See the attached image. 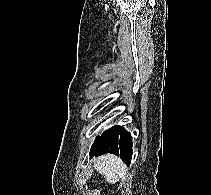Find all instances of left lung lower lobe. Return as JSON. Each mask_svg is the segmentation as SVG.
I'll use <instances>...</instances> for the list:
<instances>
[{
  "label": "left lung lower lobe",
  "instance_id": "1",
  "mask_svg": "<svg viewBox=\"0 0 211 195\" xmlns=\"http://www.w3.org/2000/svg\"><path fill=\"white\" fill-rule=\"evenodd\" d=\"M105 153L120 156L127 164L132 157V136L122 126L116 125L103 132L90 151V158Z\"/></svg>",
  "mask_w": 211,
  "mask_h": 195
}]
</instances>
